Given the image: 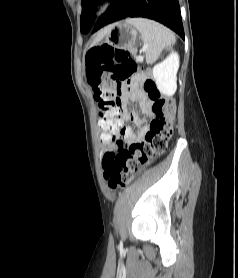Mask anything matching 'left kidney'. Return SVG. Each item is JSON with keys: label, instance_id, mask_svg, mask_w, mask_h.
<instances>
[{"label": "left kidney", "instance_id": "obj_1", "mask_svg": "<svg viewBox=\"0 0 238 278\" xmlns=\"http://www.w3.org/2000/svg\"><path fill=\"white\" fill-rule=\"evenodd\" d=\"M179 68V55L170 53L161 63L153 67L152 74L158 90L167 96H172L177 89V71Z\"/></svg>", "mask_w": 238, "mask_h": 278}]
</instances>
